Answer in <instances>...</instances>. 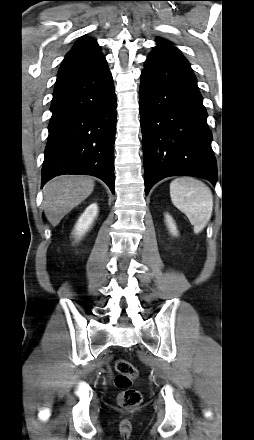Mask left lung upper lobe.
Masks as SVG:
<instances>
[{
    "mask_svg": "<svg viewBox=\"0 0 254 440\" xmlns=\"http://www.w3.org/2000/svg\"><path fill=\"white\" fill-rule=\"evenodd\" d=\"M156 42H157V46L154 48V50L171 51L178 55H182L181 52L176 47L172 46L170 42L164 40L163 38L158 37Z\"/></svg>",
    "mask_w": 254,
    "mask_h": 440,
    "instance_id": "obj_1",
    "label": "left lung upper lobe"
}]
</instances>
